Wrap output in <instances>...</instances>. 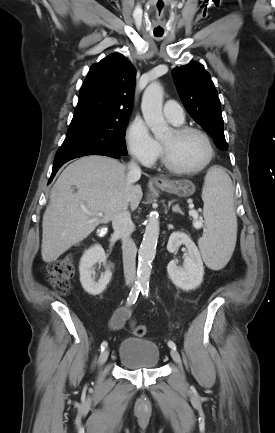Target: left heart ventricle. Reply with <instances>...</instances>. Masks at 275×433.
Returning <instances> with one entry per match:
<instances>
[{
  "label": "left heart ventricle",
  "mask_w": 275,
  "mask_h": 433,
  "mask_svg": "<svg viewBox=\"0 0 275 433\" xmlns=\"http://www.w3.org/2000/svg\"><path fill=\"white\" fill-rule=\"evenodd\" d=\"M161 142L168 149L172 161L182 168L200 166L209 154L205 139L197 133L177 137L170 130L161 138Z\"/></svg>",
  "instance_id": "obj_1"
}]
</instances>
